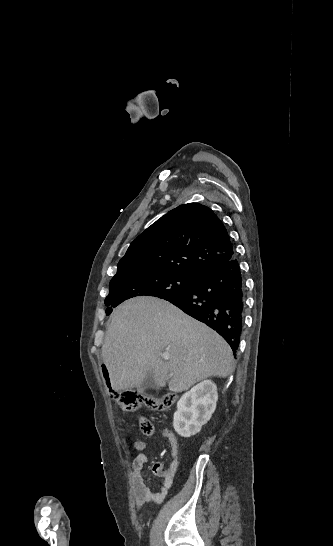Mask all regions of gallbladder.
Returning a JSON list of instances; mask_svg holds the SVG:
<instances>
[{
  "mask_svg": "<svg viewBox=\"0 0 333 546\" xmlns=\"http://www.w3.org/2000/svg\"><path fill=\"white\" fill-rule=\"evenodd\" d=\"M159 387L155 384L152 374L149 372L144 381L137 387V391L141 394H151L158 391Z\"/></svg>",
  "mask_w": 333,
  "mask_h": 546,
  "instance_id": "1",
  "label": "gallbladder"
}]
</instances>
